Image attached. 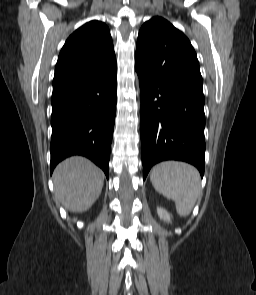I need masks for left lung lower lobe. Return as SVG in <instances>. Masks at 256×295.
Listing matches in <instances>:
<instances>
[{
  "label": "left lung lower lobe",
  "mask_w": 256,
  "mask_h": 295,
  "mask_svg": "<svg viewBox=\"0 0 256 295\" xmlns=\"http://www.w3.org/2000/svg\"><path fill=\"white\" fill-rule=\"evenodd\" d=\"M140 80V135L143 176L153 165L180 160L205 169L204 99L153 80L135 65Z\"/></svg>",
  "instance_id": "left-lung-lower-lobe-1"
}]
</instances>
